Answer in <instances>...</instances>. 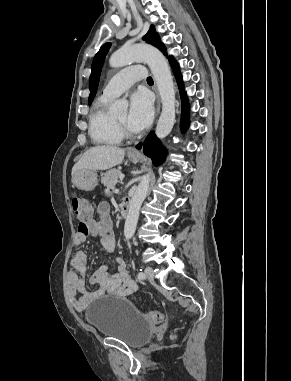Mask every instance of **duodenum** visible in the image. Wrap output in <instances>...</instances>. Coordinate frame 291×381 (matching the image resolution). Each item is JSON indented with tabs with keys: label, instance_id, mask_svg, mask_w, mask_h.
Masks as SVG:
<instances>
[{
	"label": "duodenum",
	"instance_id": "1",
	"mask_svg": "<svg viewBox=\"0 0 291 381\" xmlns=\"http://www.w3.org/2000/svg\"><path fill=\"white\" fill-rule=\"evenodd\" d=\"M120 213H121L122 217H127L128 213H129V202L128 201L122 202V204L120 205Z\"/></svg>",
	"mask_w": 291,
	"mask_h": 381
}]
</instances>
